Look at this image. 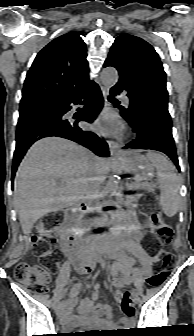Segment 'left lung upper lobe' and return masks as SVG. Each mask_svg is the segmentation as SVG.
<instances>
[{
	"mask_svg": "<svg viewBox=\"0 0 194 336\" xmlns=\"http://www.w3.org/2000/svg\"><path fill=\"white\" fill-rule=\"evenodd\" d=\"M104 65L115 67L122 82L145 108L168 109L166 74L154 48L130 34L120 35ZM126 111L130 109L124 108Z\"/></svg>",
	"mask_w": 194,
	"mask_h": 336,
	"instance_id": "5c2ea615",
	"label": "left lung upper lobe"
}]
</instances>
